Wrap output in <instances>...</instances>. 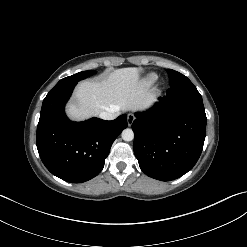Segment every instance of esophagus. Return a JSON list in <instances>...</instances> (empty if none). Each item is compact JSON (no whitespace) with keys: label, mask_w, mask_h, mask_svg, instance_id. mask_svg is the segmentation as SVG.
<instances>
[{"label":"esophagus","mask_w":247,"mask_h":247,"mask_svg":"<svg viewBox=\"0 0 247 247\" xmlns=\"http://www.w3.org/2000/svg\"><path fill=\"white\" fill-rule=\"evenodd\" d=\"M135 120V116L133 114H128L127 115V123H128V126H131L133 124Z\"/></svg>","instance_id":"esophagus-1"}]
</instances>
